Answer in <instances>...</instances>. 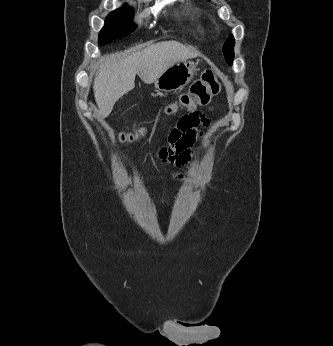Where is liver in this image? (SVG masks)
<instances>
[{
  "mask_svg": "<svg viewBox=\"0 0 333 346\" xmlns=\"http://www.w3.org/2000/svg\"><path fill=\"white\" fill-rule=\"evenodd\" d=\"M196 49L177 41H164L144 50L110 54L100 61L93 91L99 116L106 118L114 104L135 87V76L146 84L155 80L170 66L179 61L197 57Z\"/></svg>",
  "mask_w": 333,
  "mask_h": 346,
  "instance_id": "liver-1",
  "label": "liver"
}]
</instances>
